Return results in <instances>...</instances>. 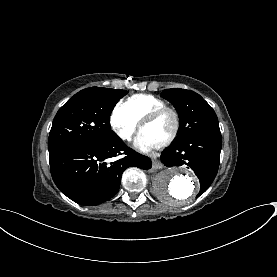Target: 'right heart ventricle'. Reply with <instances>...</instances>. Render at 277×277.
<instances>
[{
    "label": "right heart ventricle",
    "mask_w": 277,
    "mask_h": 277,
    "mask_svg": "<svg viewBox=\"0 0 277 277\" xmlns=\"http://www.w3.org/2000/svg\"><path fill=\"white\" fill-rule=\"evenodd\" d=\"M163 106H166V103L157 97L148 94H136L127 98L121 107L140 122L147 112Z\"/></svg>",
    "instance_id": "1"
}]
</instances>
